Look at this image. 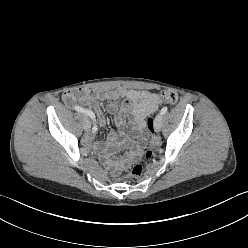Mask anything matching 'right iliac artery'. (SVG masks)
<instances>
[{
	"label": "right iliac artery",
	"mask_w": 248,
	"mask_h": 248,
	"mask_svg": "<svg viewBox=\"0 0 248 248\" xmlns=\"http://www.w3.org/2000/svg\"><path fill=\"white\" fill-rule=\"evenodd\" d=\"M74 109H75L77 112L85 113V114L89 115L93 120H95V115L93 114V112L88 111V110H85V109H83V108L80 107V106H75ZM92 130H93V131H96V130H97V126L94 125V126L92 127Z\"/></svg>",
	"instance_id": "82829eb1"
}]
</instances>
